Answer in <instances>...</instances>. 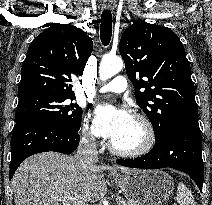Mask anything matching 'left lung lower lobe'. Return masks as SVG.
Returning a JSON list of instances; mask_svg holds the SVG:
<instances>
[{
	"instance_id": "0a47b994",
	"label": "left lung lower lobe",
	"mask_w": 212,
	"mask_h": 205,
	"mask_svg": "<svg viewBox=\"0 0 212 205\" xmlns=\"http://www.w3.org/2000/svg\"><path fill=\"white\" fill-rule=\"evenodd\" d=\"M116 162L131 168L159 169L170 167L182 170L194 180L202 191V139L198 124V112L177 118L162 139H155L154 147L146 155L135 159H119Z\"/></svg>"
}]
</instances>
